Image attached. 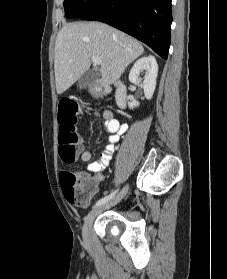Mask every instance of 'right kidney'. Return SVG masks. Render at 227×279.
Here are the masks:
<instances>
[{
	"instance_id": "obj_1",
	"label": "right kidney",
	"mask_w": 227,
	"mask_h": 279,
	"mask_svg": "<svg viewBox=\"0 0 227 279\" xmlns=\"http://www.w3.org/2000/svg\"><path fill=\"white\" fill-rule=\"evenodd\" d=\"M145 71L144 80L140 78V74ZM158 73V64L154 56L149 55L147 57H142L138 59L129 73V81L132 83H140L141 87L144 90L145 97L147 99H151L155 87H156V78ZM130 102H128V106L130 109H134L139 106V102L134 99L133 96L129 95L127 97Z\"/></svg>"
}]
</instances>
